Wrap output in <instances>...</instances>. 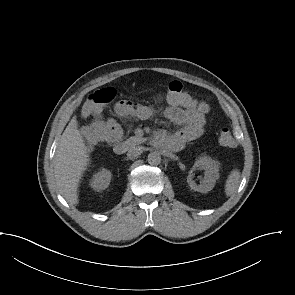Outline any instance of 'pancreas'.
<instances>
[{
  "label": "pancreas",
  "instance_id": "pancreas-1",
  "mask_svg": "<svg viewBox=\"0 0 295 295\" xmlns=\"http://www.w3.org/2000/svg\"><path fill=\"white\" fill-rule=\"evenodd\" d=\"M145 138L141 137V136H132L130 138H128L125 143L129 146V147H134L136 145H139L143 142H145Z\"/></svg>",
  "mask_w": 295,
  "mask_h": 295
}]
</instances>
